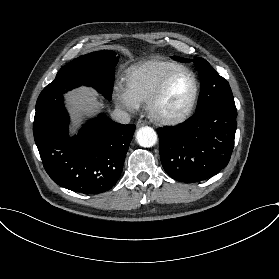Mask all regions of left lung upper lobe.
I'll use <instances>...</instances> for the list:
<instances>
[{
	"mask_svg": "<svg viewBox=\"0 0 279 279\" xmlns=\"http://www.w3.org/2000/svg\"><path fill=\"white\" fill-rule=\"evenodd\" d=\"M174 59L181 62L192 61L191 59L180 57H174ZM194 63L201 79V91L196 112L216 107L231 113H237L229 83L223 77L219 76L205 59L197 58Z\"/></svg>",
	"mask_w": 279,
	"mask_h": 279,
	"instance_id": "obj_1",
	"label": "left lung upper lobe"
}]
</instances>
